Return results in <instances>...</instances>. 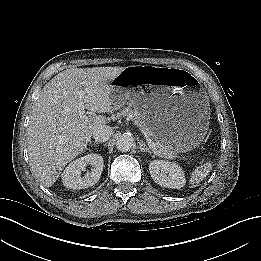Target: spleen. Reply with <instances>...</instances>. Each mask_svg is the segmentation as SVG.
<instances>
[{"label": "spleen", "mask_w": 261, "mask_h": 261, "mask_svg": "<svg viewBox=\"0 0 261 261\" xmlns=\"http://www.w3.org/2000/svg\"><path fill=\"white\" fill-rule=\"evenodd\" d=\"M212 170V164L210 162H206L200 166H198L190 176V184L194 186V184L201 182Z\"/></svg>", "instance_id": "3e777b00"}]
</instances>
